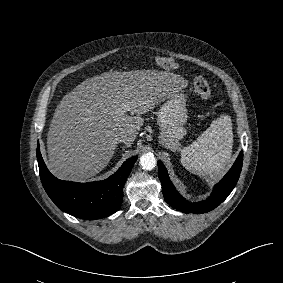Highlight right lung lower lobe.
I'll list each match as a JSON object with an SVG mask.
<instances>
[{
    "label": "right lung lower lobe",
    "instance_id": "right-lung-lower-lobe-1",
    "mask_svg": "<svg viewBox=\"0 0 283 283\" xmlns=\"http://www.w3.org/2000/svg\"><path fill=\"white\" fill-rule=\"evenodd\" d=\"M37 160L43 187L62 211L87 220L101 219L115 213L123 200V187L137 156L127 159L108 179L89 183L62 181L47 169L37 147Z\"/></svg>",
    "mask_w": 283,
    "mask_h": 283
}]
</instances>
